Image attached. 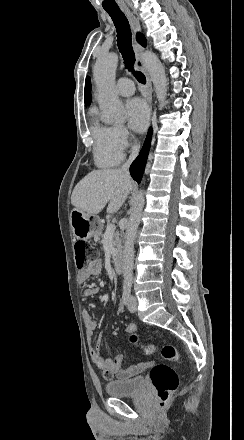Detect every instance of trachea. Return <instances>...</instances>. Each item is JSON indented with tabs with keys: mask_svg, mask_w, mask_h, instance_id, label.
Here are the masks:
<instances>
[{
	"mask_svg": "<svg viewBox=\"0 0 244 440\" xmlns=\"http://www.w3.org/2000/svg\"><path fill=\"white\" fill-rule=\"evenodd\" d=\"M110 15L117 33V45L124 59L126 68L134 73L136 79L140 83H146V78L141 72L134 71L133 65L135 63V54L132 48V33L128 19L120 10V8L105 9Z\"/></svg>",
	"mask_w": 244,
	"mask_h": 440,
	"instance_id": "trachea-1",
	"label": "trachea"
}]
</instances>
